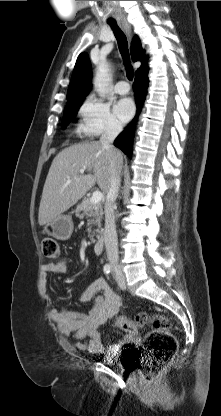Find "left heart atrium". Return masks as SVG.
I'll list each match as a JSON object with an SVG mask.
<instances>
[{
	"label": "left heart atrium",
	"instance_id": "left-heart-atrium-1",
	"mask_svg": "<svg viewBox=\"0 0 221 416\" xmlns=\"http://www.w3.org/2000/svg\"><path fill=\"white\" fill-rule=\"evenodd\" d=\"M114 111L122 122H127L134 115L135 106L131 99L123 98L115 104Z\"/></svg>",
	"mask_w": 221,
	"mask_h": 416
}]
</instances>
